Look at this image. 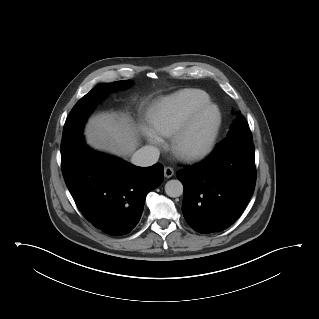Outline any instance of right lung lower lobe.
<instances>
[{
	"label": "right lung lower lobe",
	"mask_w": 319,
	"mask_h": 319,
	"mask_svg": "<svg viewBox=\"0 0 319 319\" xmlns=\"http://www.w3.org/2000/svg\"><path fill=\"white\" fill-rule=\"evenodd\" d=\"M61 158L76 205L92 225L111 236L127 234L138 224L146 195L163 181L162 164L134 166L91 150L83 137Z\"/></svg>",
	"instance_id": "right-lung-lower-lobe-1"
}]
</instances>
